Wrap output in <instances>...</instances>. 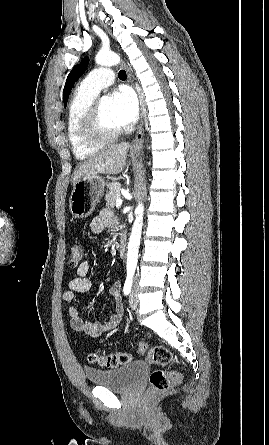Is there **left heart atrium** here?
I'll use <instances>...</instances> for the list:
<instances>
[{
  "label": "left heart atrium",
  "mask_w": 269,
  "mask_h": 445,
  "mask_svg": "<svg viewBox=\"0 0 269 445\" xmlns=\"http://www.w3.org/2000/svg\"><path fill=\"white\" fill-rule=\"evenodd\" d=\"M111 107L115 121L122 128L131 126L138 117L137 99L129 88H121L113 93Z\"/></svg>",
  "instance_id": "obj_1"
}]
</instances>
